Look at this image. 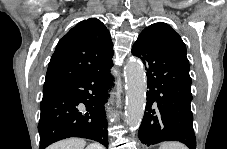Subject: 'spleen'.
<instances>
[{
    "label": "spleen",
    "instance_id": "3e777b00",
    "mask_svg": "<svg viewBox=\"0 0 227 149\" xmlns=\"http://www.w3.org/2000/svg\"><path fill=\"white\" fill-rule=\"evenodd\" d=\"M159 149H187L183 144L178 142H166L162 143Z\"/></svg>",
    "mask_w": 227,
    "mask_h": 149
}]
</instances>
